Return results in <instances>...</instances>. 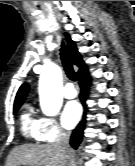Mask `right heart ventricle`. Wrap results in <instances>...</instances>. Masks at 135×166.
Listing matches in <instances>:
<instances>
[{"label": "right heart ventricle", "mask_w": 135, "mask_h": 166, "mask_svg": "<svg viewBox=\"0 0 135 166\" xmlns=\"http://www.w3.org/2000/svg\"><path fill=\"white\" fill-rule=\"evenodd\" d=\"M20 128L26 139L39 142L41 138V119L36 116L32 105L25 106L20 116Z\"/></svg>", "instance_id": "right-heart-ventricle-1"}]
</instances>
